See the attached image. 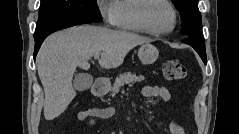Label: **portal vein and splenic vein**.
Masks as SVG:
<instances>
[{
	"label": "portal vein and splenic vein",
	"instance_id": "obj_1",
	"mask_svg": "<svg viewBox=\"0 0 239 134\" xmlns=\"http://www.w3.org/2000/svg\"><path fill=\"white\" fill-rule=\"evenodd\" d=\"M99 56H100L99 53L94 54V59H99Z\"/></svg>",
	"mask_w": 239,
	"mask_h": 134
}]
</instances>
